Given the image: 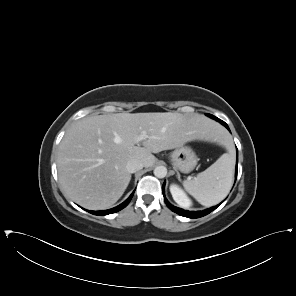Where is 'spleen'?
I'll return each mask as SVG.
<instances>
[{
  "label": "spleen",
  "mask_w": 296,
  "mask_h": 296,
  "mask_svg": "<svg viewBox=\"0 0 296 296\" xmlns=\"http://www.w3.org/2000/svg\"><path fill=\"white\" fill-rule=\"evenodd\" d=\"M234 172V159L224 153L215 163L193 179L183 181L185 190L200 204L210 207L221 202L229 193Z\"/></svg>",
  "instance_id": "spleen-1"
}]
</instances>
